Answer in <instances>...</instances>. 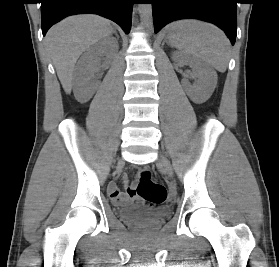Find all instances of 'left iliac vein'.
Returning a JSON list of instances; mask_svg holds the SVG:
<instances>
[{
    "label": "left iliac vein",
    "mask_w": 279,
    "mask_h": 267,
    "mask_svg": "<svg viewBox=\"0 0 279 267\" xmlns=\"http://www.w3.org/2000/svg\"><path fill=\"white\" fill-rule=\"evenodd\" d=\"M159 163L161 164V166L163 167L164 171L166 172V174L169 177H172V168L171 165L169 163V161L167 160V158L164 155H160L159 157Z\"/></svg>",
    "instance_id": "left-iliac-vein-1"
}]
</instances>
